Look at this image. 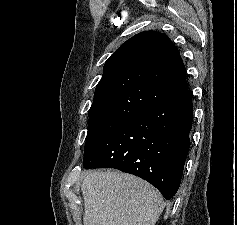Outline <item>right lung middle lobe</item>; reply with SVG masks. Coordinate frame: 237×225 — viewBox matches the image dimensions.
<instances>
[{
	"instance_id": "1",
	"label": "right lung middle lobe",
	"mask_w": 237,
	"mask_h": 225,
	"mask_svg": "<svg viewBox=\"0 0 237 225\" xmlns=\"http://www.w3.org/2000/svg\"><path fill=\"white\" fill-rule=\"evenodd\" d=\"M127 121L128 120L116 118L89 120L84 157H86L98 144Z\"/></svg>"
}]
</instances>
